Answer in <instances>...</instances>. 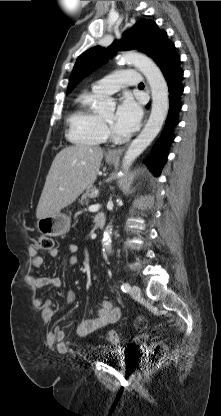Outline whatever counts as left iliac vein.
Returning a JSON list of instances; mask_svg holds the SVG:
<instances>
[{"label": "left iliac vein", "instance_id": "4c4485c4", "mask_svg": "<svg viewBox=\"0 0 221 416\" xmlns=\"http://www.w3.org/2000/svg\"><path fill=\"white\" fill-rule=\"evenodd\" d=\"M130 294L133 298H140L141 290L137 285H133L130 290Z\"/></svg>", "mask_w": 221, "mask_h": 416}]
</instances>
